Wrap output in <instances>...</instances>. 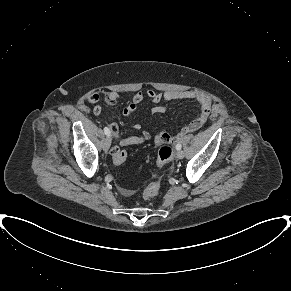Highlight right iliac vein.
Instances as JSON below:
<instances>
[{"mask_svg":"<svg viewBox=\"0 0 291 291\" xmlns=\"http://www.w3.org/2000/svg\"><path fill=\"white\" fill-rule=\"evenodd\" d=\"M111 145V139L110 137H107L104 141H103V150L104 151H108Z\"/></svg>","mask_w":291,"mask_h":291,"instance_id":"obj_1","label":"right iliac vein"}]
</instances>
